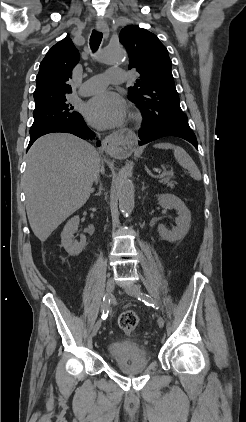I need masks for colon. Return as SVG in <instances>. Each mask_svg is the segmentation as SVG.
Here are the masks:
<instances>
[{
  "label": "colon",
  "instance_id": "colon-1",
  "mask_svg": "<svg viewBox=\"0 0 246 422\" xmlns=\"http://www.w3.org/2000/svg\"><path fill=\"white\" fill-rule=\"evenodd\" d=\"M139 323L138 316L133 311H125L118 318L119 327L126 333L133 332Z\"/></svg>",
  "mask_w": 246,
  "mask_h": 422
}]
</instances>
